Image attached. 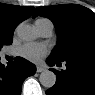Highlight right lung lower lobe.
I'll use <instances>...</instances> for the list:
<instances>
[{"label": "right lung lower lobe", "instance_id": "98d812e1", "mask_svg": "<svg viewBox=\"0 0 95 95\" xmlns=\"http://www.w3.org/2000/svg\"><path fill=\"white\" fill-rule=\"evenodd\" d=\"M35 72V65L20 57L10 68L0 64V95H20L23 81Z\"/></svg>", "mask_w": 95, "mask_h": 95}]
</instances>
